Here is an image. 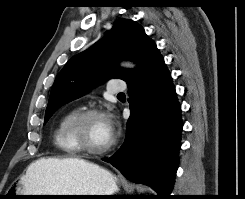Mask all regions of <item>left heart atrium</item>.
Returning a JSON list of instances; mask_svg holds the SVG:
<instances>
[{
    "label": "left heart atrium",
    "mask_w": 245,
    "mask_h": 199,
    "mask_svg": "<svg viewBox=\"0 0 245 199\" xmlns=\"http://www.w3.org/2000/svg\"><path fill=\"white\" fill-rule=\"evenodd\" d=\"M107 124H108V128H109V132L113 136V133H114V123H113V121L111 119L107 118Z\"/></svg>",
    "instance_id": "left-heart-atrium-1"
}]
</instances>
